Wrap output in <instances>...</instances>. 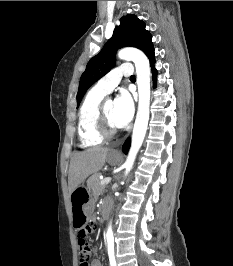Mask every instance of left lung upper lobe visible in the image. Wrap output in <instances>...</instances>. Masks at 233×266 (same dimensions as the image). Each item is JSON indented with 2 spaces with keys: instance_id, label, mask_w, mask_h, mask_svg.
I'll return each instance as SVG.
<instances>
[{
  "instance_id": "5c2ea615",
  "label": "left lung upper lobe",
  "mask_w": 233,
  "mask_h": 266,
  "mask_svg": "<svg viewBox=\"0 0 233 266\" xmlns=\"http://www.w3.org/2000/svg\"><path fill=\"white\" fill-rule=\"evenodd\" d=\"M125 46L139 48L145 54L153 48L152 36L145 29V23L132 14L121 18L120 26L115 28L112 38L101 52L88 62L80 78L77 107L87 89L113 68L116 51Z\"/></svg>"
}]
</instances>
